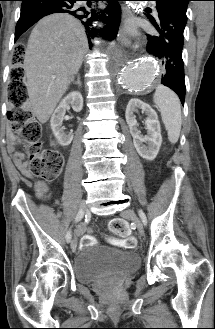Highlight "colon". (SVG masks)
<instances>
[{"instance_id": "obj_1", "label": "colon", "mask_w": 215, "mask_h": 329, "mask_svg": "<svg viewBox=\"0 0 215 329\" xmlns=\"http://www.w3.org/2000/svg\"><path fill=\"white\" fill-rule=\"evenodd\" d=\"M12 62V72L17 73L12 77L8 89V100L11 109L8 118L13 130L16 131L18 141L27 147L28 170L30 174L44 180L56 179L63 167L62 155L55 149L44 148L40 141L42 129L40 124L33 118L28 103V91L22 79L23 48L18 47ZM111 232L120 238H124V247L133 248L136 241L129 237V226L121 218H114L109 224ZM97 243L96 238L85 235L81 238L82 247L92 246Z\"/></svg>"}]
</instances>
